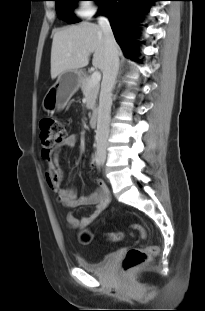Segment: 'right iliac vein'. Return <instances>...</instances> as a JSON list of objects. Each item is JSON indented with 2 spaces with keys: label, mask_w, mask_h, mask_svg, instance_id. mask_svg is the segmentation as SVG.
<instances>
[{
  "label": "right iliac vein",
  "mask_w": 205,
  "mask_h": 311,
  "mask_svg": "<svg viewBox=\"0 0 205 311\" xmlns=\"http://www.w3.org/2000/svg\"><path fill=\"white\" fill-rule=\"evenodd\" d=\"M98 154H99V159L102 163L105 162L106 160V153H105V147L104 146H99L98 147Z\"/></svg>",
  "instance_id": "obj_1"
}]
</instances>
